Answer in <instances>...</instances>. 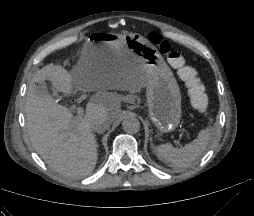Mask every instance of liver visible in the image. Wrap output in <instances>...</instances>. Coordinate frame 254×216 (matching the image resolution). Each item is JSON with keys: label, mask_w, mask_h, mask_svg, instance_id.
<instances>
[{"label": "liver", "mask_w": 254, "mask_h": 216, "mask_svg": "<svg viewBox=\"0 0 254 216\" xmlns=\"http://www.w3.org/2000/svg\"><path fill=\"white\" fill-rule=\"evenodd\" d=\"M81 51L77 65L68 72L58 64H47L37 71L26 97V127L38 155L56 172L70 177L90 174L98 159L97 141L90 123L100 117L112 124L121 114L123 97L107 90L140 92L146 87L144 69L136 61L120 57L115 63L94 69ZM49 80L56 91L70 95L77 90L97 91L87 103L85 115L74 118L71 111L36 83Z\"/></svg>", "instance_id": "1"}]
</instances>
